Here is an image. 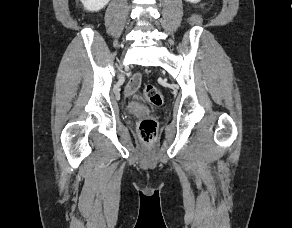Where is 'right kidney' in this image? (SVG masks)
<instances>
[{
	"label": "right kidney",
	"instance_id": "ca27d5eb",
	"mask_svg": "<svg viewBox=\"0 0 292 228\" xmlns=\"http://www.w3.org/2000/svg\"><path fill=\"white\" fill-rule=\"evenodd\" d=\"M88 11L97 12L103 9L110 0H80Z\"/></svg>",
	"mask_w": 292,
	"mask_h": 228
}]
</instances>
